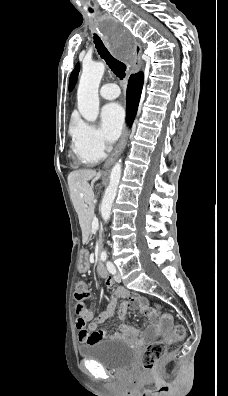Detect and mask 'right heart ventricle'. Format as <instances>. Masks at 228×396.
<instances>
[{"mask_svg":"<svg viewBox=\"0 0 228 396\" xmlns=\"http://www.w3.org/2000/svg\"><path fill=\"white\" fill-rule=\"evenodd\" d=\"M74 150H75L76 154L78 155L80 161H81L83 164L91 165V164H94L95 162H97V160L93 159L92 157H89V156H87V155L81 154V153L78 151L75 142H74Z\"/></svg>","mask_w":228,"mask_h":396,"instance_id":"e07e8e85","label":"right heart ventricle"}]
</instances>
